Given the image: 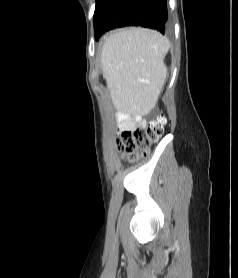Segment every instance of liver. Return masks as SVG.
<instances>
[{
	"instance_id": "obj_1",
	"label": "liver",
	"mask_w": 238,
	"mask_h": 278,
	"mask_svg": "<svg viewBox=\"0 0 238 278\" xmlns=\"http://www.w3.org/2000/svg\"><path fill=\"white\" fill-rule=\"evenodd\" d=\"M169 40L157 31L131 27L105 38L101 66L114 107L148 114L157 104L167 69Z\"/></svg>"
}]
</instances>
